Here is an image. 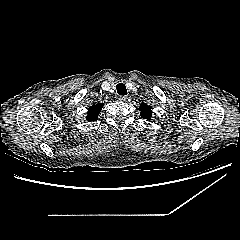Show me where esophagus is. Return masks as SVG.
<instances>
[{
  "mask_svg": "<svg viewBox=\"0 0 240 240\" xmlns=\"http://www.w3.org/2000/svg\"><path fill=\"white\" fill-rule=\"evenodd\" d=\"M126 99H127L126 96H118V100H119L120 102H124V101H126Z\"/></svg>",
  "mask_w": 240,
  "mask_h": 240,
  "instance_id": "34e87169",
  "label": "esophagus"
}]
</instances>
